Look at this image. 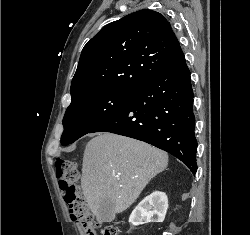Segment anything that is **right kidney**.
Returning <instances> with one entry per match:
<instances>
[{"label":"right kidney","instance_id":"obj_1","mask_svg":"<svg viewBox=\"0 0 250 235\" xmlns=\"http://www.w3.org/2000/svg\"><path fill=\"white\" fill-rule=\"evenodd\" d=\"M168 209V198L164 192L155 191L145 197L133 210L129 222L133 226L148 222H163Z\"/></svg>","mask_w":250,"mask_h":235}]
</instances>
